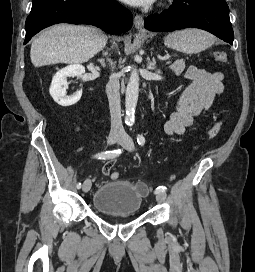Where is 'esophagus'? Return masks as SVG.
<instances>
[{
	"mask_svg": "<svg viewBox=\"0 0 255 272\" xmlns=\"http://www.w3.org/2000/svg\"><path fill=\"white\" fill-rule=\"evenodd\" d=\"M134 26L141 32H144V19L141 15H136L134 18Z\"/></svg>",
	"mask_w": 255,
	"mask_h": 272,
	"instance_id": "34e87169",
	"label": "esophagus"
}]
</instances>
